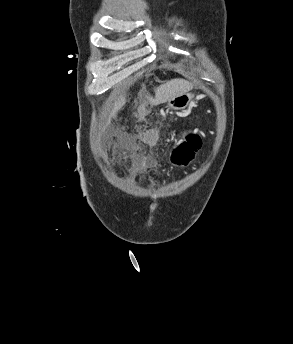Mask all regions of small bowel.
Masks as SVG:
<instances>
[{"label": "small bowel", "instance_id": "small-bowel-1", "mask_svg": "<svg viewBox=\"0 0 293 344\" xmlns=\"http://www.w3.org/2000/svg\"><path fill=\"white\" fill-rule=\"evenodd\" d=\"M159 140L158 132L155 129H147L139 135H131L124 142V146L128 150H137L146 148L148 150L154 148Z\"/></svg>", "mask_w": 293, "mask_h": 344}]
</instances>
